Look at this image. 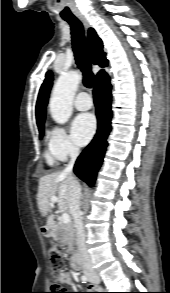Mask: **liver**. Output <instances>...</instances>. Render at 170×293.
<instances>
[{"mask_svg":"<svg viewBox=\"0 0 170 293\" xmlns=\"http://www.w3.org/2000/svg\"><path fill=\"white\" fill-rule=\"evenodd\" d=\"M70 186V180L63 172L45 175L39 179L37 204L42 216H46L52 208V197H57L59 212L66 213L69 211L72 214ZM54 226V215L51 214L47 218L45 229L49 231Z\"/></svg>","mask_w":170,"mask_h":293,"instance_id":"obj_1","label":"liver"}]
</instances>
